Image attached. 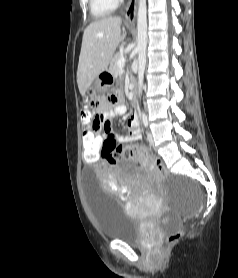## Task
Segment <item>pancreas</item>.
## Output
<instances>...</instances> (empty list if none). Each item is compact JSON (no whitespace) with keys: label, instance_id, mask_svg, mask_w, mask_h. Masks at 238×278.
Instances as JSON below:
<instances>
[{"label":"pancreas","instance_id":"cf45deb5","mask_svg":"<svg viewBox=\"0 0 238 278\" xmlns=\"http://www.w3.org/2000/svg\"><path fill=\"white\" fill-rule=\"evenodd\" d=\"M123 57V54L121 52H117L110 61V67H109V73L113 76H117L119 72L118 68V61Z\"/></svg>","mask_w":238,"mask_h":278}]
</instances>
